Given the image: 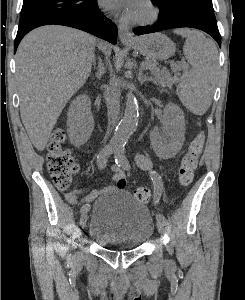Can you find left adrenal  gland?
Returning a JSON list of instances; mask_svg holds the SVG:
<instances>
[{
    "label": "left adrenal gland",
    "mask_w": 245,
    "mask_h": 300,
    "mask_svg": "<svg viewBox=\"0 0 245 300\" xmlns=\"http://www.w3.org/2000/svg\"><path fill=\"white\" fill-rule=\"evenodd\" d=\"M150 77L148 75L143 74V70L139 68V73H138V81L141 85H143L146 81H150Z\"/></svg>",
    "instance_id": "a2214340"
}]
</instances>
